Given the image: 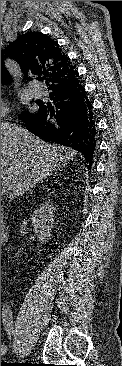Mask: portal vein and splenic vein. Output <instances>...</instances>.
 I'll use <instances>...</instances> for the list:
<instances>
[{"label": "portal vein and splenic vein", "instance_id": "obj_1", "mask_svg": "<svg viewBox=\"0 0 122 366\" xmlns=\"http://www.w3.org/2000/svg\"><path fill=\"white\" fill-rule=\"evenodd\" d=\"M1 191H2V193L7 194L9 191V187H4Z\"/></svg>", "mask_w": 122, "mask_h": 366}]
</instances>
